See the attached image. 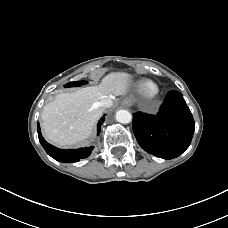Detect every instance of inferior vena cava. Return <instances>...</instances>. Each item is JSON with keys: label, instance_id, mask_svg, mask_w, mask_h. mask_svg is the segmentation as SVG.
<instances>
[{"label": "inferior vena cava", "instance_id": "inferior-vena-cava-1", "mask_svg": "<svg viewBox=\"0 0 228 228\" xmlns=\"http://www.w3.org/2000/svg\"><path fill=\"white\" fill-rule=\"evenodd\" d=\"M112 105V99L109 97L103 98L98 102V106L102 108H107Z\"/></svg>", "mask_w": 228, "mask_h": 228}]
</instances>
